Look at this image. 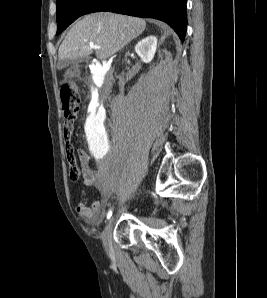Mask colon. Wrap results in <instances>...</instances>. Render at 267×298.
<instances>
[{
  "label": "colon",
  "instance_id": "5ec220e1",
  "mask_svg": "<svg viewBox=\"0 0 267 298\" xmlns=\"http://www.w3.org/2000/svg\"><path fill=\"white\" fill-rule=\"evenodd\" d=\"M61 101L64 112V138L66 158L69 166V176L71 180L77 181L81 176V169L77 162V158L70 143V130L76 118L79 108V93L77 86L74 83H66L61 88Z\"/></svg>",
  "mask_w": 267,
  "mask_h": 298
}]
</instances>
